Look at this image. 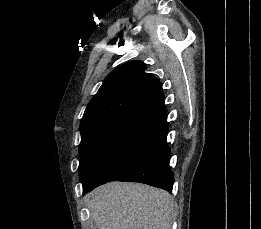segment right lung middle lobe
I'll return each mask as SVG.
<instances>
[{
  "label": "right lung middle lobe",
  "mask_w": 261,
  "mask_h": 229,
  "mask_svg": "<svg viewBox=\"0 0 261 229\" xmlns=\"http://www.w3.org/2000/svg\"><path fill=\"white\" fill-rule=\"evenodd\" d=\"M154 130H138L134 134L135 144L131 148H113L107 146L80 145L79 175L83 191L89 188L96 178L114 161L131 151L143 140L152 135Z\"/></svg>",
  "instance_id": "dd1d6c3e"
}]
</instances>
